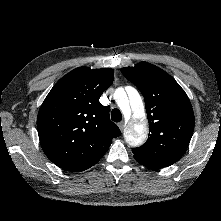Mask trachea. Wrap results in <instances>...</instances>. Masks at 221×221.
Masks as SVG:
<instances>
[{
    "mask_svg": "<svg viewBox=\"0 0 221 221\" xmlns=\"http://www.w3.org/2000/svg\"><path fill=\"white\" fill-rule=\"evenodd\" d=\"M111 119L114 122H120L122 120V114L119 109L115 108L111 112Z\"/></svg>",
    "mask_w": 221,
    "mask_h": 221,
    "instance_id": "1",
    "label": "trachea"
}]
</instances>
